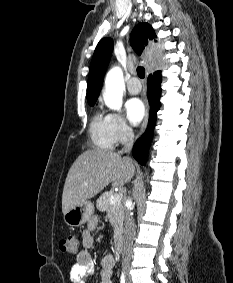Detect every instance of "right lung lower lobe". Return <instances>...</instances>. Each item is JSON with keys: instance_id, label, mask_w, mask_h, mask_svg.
<instances>
[{"instance_id": "98d812e1", "label": "right lung lower lobe", "mask_w": 233, "mask_h": 283, "mask_svg": "<svg viewBox=\"0 0 233 283\" xmlns=\"http://www.w3.org/2000/svg\"><path fill=\"white\" fill-rule=\"evenodd\" d=\"M160 83L161 76L160 72L154 73V76L150 75L148 78V98L151 106V113L149 117L148 128L145 133L141 136L139 140L134 145L133 157L141 164L145 165L147 159V153L150 146L153 128L156 121V112L160 106Z\"/></svg>"}]
</instances>
